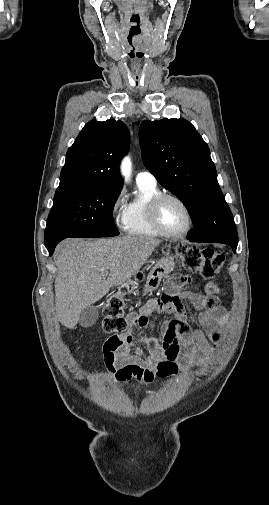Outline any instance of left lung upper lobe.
<instances>
[{"mask_svg":"<svg viewBox=\"0 0 269 505\" xmlns=\"http://www.w3.org/2000/svg\"><path fill=\"white\" fill-rule=\"evenodd\" d=\"M142 159L158 182L189 209V240L238 244L233 216L219 187L206 142L185 119L144 121Z\"/></svg>","mask_w":269,"mask_h":505,"instance_id":"1","label":"left lung upper lobe"}]
</instances>
